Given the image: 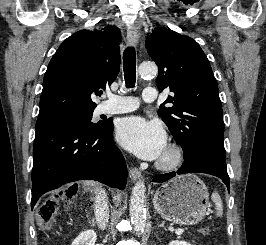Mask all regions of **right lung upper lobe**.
I'll return each mask as SVG.
<instances>
[{"label":"right lung upper lobe","instance_id":"obj_1","mask_svg":"<svg viewBox=\"0 0 266 245\" xmlns=\"http://www.w3.org/2000/svg\"><path fill=\"white\" fill-rule=\"evenodd\" d=\"M120 30L106 26L67 38L52 57L43 80L38 121L94 109L91 93L105 89L120 69Z\"/></svg>","mask_w":266,"mask_h":245}]
</instances>
